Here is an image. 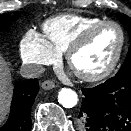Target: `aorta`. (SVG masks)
I'll return each mask as SVG.
<instances>
[{
  "mask_svg": "<svg viewBox=\"0 0 131 131\" xmlns=\"http://www.w3.org/2000/svg\"><path fill=\"white\" fill-rule=\"evenodd\" d=\"M58 102L65 108H72L78 102V96L70 88H62L58 92Z\"/></svg>",
  "mask_w": 131,
  "mask_h": 131,
  "instance_id": "obj_1",
  "label": "aorta"
}]
</instances>
